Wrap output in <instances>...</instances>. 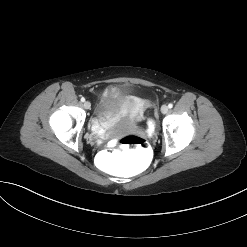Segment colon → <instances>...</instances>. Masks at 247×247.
I'll return each instance as SVG.
<instances>
[{
  "label": "colon",
  "mask_w": 247,
  "mask_h": 247,
  "mask_svg": "<svg viewBox=\"0 0 247 247\" xmlns=\"http://www.w3.org/2000/svg\"><path fill=\"white\" fill-rule=\"evenodd\" d=\"M156 120L147 118L143 136L152 138ZM120 150L102 148L95 155L96 166L116 177L134 178L143 174L155 160V149L143 137L130 134L119 141Z\"/></svg>",
  "instance_id": "1"
}]
</instances>
